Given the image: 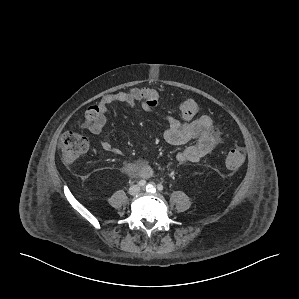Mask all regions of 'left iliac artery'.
Returning a JSON list of instances; mask_svg holds the SVG:
<instances>
[{
    "instance_id": "1",
    "label": "left iliac artery",
    "mask_w": 299,
    "mask_h": 299,
    "mask_svg": "<svg viewBox=\"0 0 299 299\" xmlns=\"http://www.w3.org/2000/svg\"><path fill=\"white\" fill-rule=\"evenodd\" d=\"M152 185H147L146 186V191H148V192H153V190H152ZM157 189L159 190V191H162L163 189H164V187H163V185L162 184H158L157 185Z\"/></svg>"
}]
</instances>
